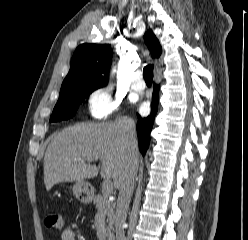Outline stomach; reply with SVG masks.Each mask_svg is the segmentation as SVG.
<instances>
[{
	"label": "stomach",
	"instance_id": "0dacf381",
	"mask_svg": "<svg viewBox=\"0 0 248 240\" xmlns=\"http://www.w3.org/2000/svg\"><path fill=\"white\" fill-rule=\"evenodd\" d=\"M74 196L83 203L91 202L93 198L92 186L86 181H77L72 186Z\"/></svg>",
	"mask_w": 248,
	"mask_h": 240
}]
</instances>
